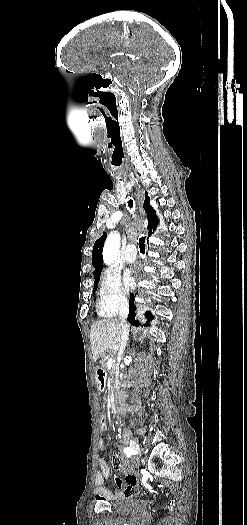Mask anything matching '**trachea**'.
Here are the masks:
<instances>
[{"label":"trachea","instance_id":"trachea-1","mask_svg":"<svg viewBox=\"0 0 247 525\" xmlns=\"http://www.w3.org/2000/svg\"><path fill=\"white\" fill-rule=\"evenodd\" d=\"M133 205H134V204H133V200L130 199V200L128 201V206H129V208L132 209V208H133ZM138 245H139L140 252H141V253H144V252H145V237H141V238L139 239V244H138Z\"/></svg>","mask_w":247,"mask_h":525}]
</instances>
